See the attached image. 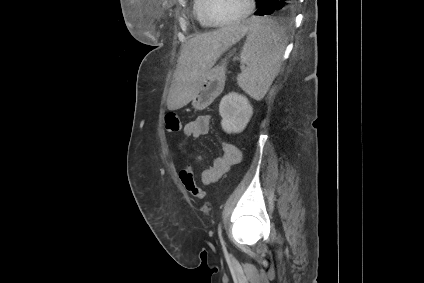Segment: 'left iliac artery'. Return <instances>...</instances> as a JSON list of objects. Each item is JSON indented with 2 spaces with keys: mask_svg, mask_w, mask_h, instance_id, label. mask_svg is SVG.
I'll return each instance as SVG.
<instances>
[{
  "mask_svg": "<svg viewBox=\"0 0 424 283\" xmlns=\"http://www.w3.org/2000/svg\"><path fill=\"white\" fill-rule=\"evenodd\" d=\"M218 234H219V237H220L221 242L223 243L222 230H221V226L220 225L218 227Z\"/></svg>",
  "mask_w": 424,
  "mask_h": 283,
  "instance_id": "left-iliac-artery-1",
  "label": "left iliac artery"
}]
</instances>
